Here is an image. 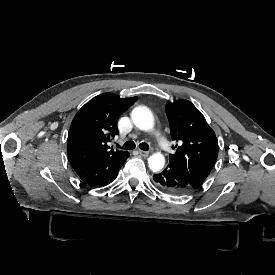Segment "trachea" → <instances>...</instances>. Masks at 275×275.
<instances>
[{
    "label": "trachea",
    "instance_id": "obj_1",
    "mask_svg": "<svg viewBox=\"0 0 275 275\" xmlns=\"http://www.w3.org/2000/svg\"><path fill=\"white\" fill-rule=\"evenodd\" d=\"M117 147H120L119 145H117ZM136 147L135 143L133 141H127L122 148L125 150H132ZM139 148L144 150V151H148L149 150V145L145 142L140 143L139 144Z\"/></svg>",
    "mask_w": 275,
    "mask_h": 275
}]
</instances>
